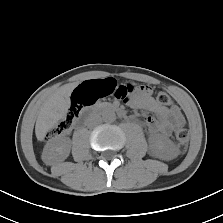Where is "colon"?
<instances>
[{
	"label": "colon",
	"mask_w": 223,
	"mask_h": 223,
	"mask_svg": "<svg viewBox=\"0 0 223 223\" xmlns=\"http://www.w3.org/2000/svg\"><path fill=\"white\" fill-rule=\"evenodd\" d=\"M135 87L132 84H116V82L107 78L105 80H90L76 87L71 95V106L65 117L53 128L51 136H61L67 133L80 111L97 100L113 96L116 99L127 101L134 92ZM157 101L162 106H168L172 103L167 93L161 92L157 95ZM177 147L181 153L186 152L189 146V134L185 129H179L176 132Z\"/></svg>",
	"instance_id": "1"
}]
</instances>
